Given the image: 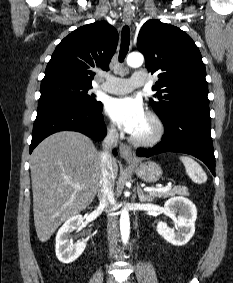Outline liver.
<instances>
[{
    "mask_svg": "<svg viewBox=\"0 0 233 283\" xmlns=\"http://www.w3.org/2000/svg\"><path fill=\"white\" fill-rule=\"evenodd\" d=\"M112 167L115 180V158ZM30 170L35 229L38 239L46 242L63 222L93 201L100 188L101 152L79 132H57L34 149ZM77 184L82 187L76 188Z\"/></svg>",
    "mask_w": 233,
    "mask_h": 283,
    "instance_id": "obj_1",
    "label": "liver"
}]
</instances>
